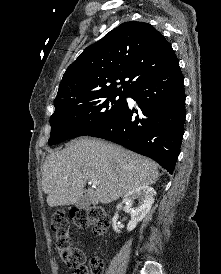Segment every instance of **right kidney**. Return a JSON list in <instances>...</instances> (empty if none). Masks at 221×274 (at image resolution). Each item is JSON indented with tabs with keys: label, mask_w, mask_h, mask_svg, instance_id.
I'll return each mask as SVG.
<instances>
[{
	"label": "right kidney",
	"mask_w": 221,
	"mask_h": 274,
	"mask_svg": "<svg viewBox=\"0 0 221 274\" xmlns=\"http://www.w3.org/2000/svg\"><path fill=\"white\" fill-rule=\"evenodd\" d=\"M156 195V191L149 186H140L134 190L129 191L123 198L121 204L117 206L119 209L122 204H125L128 208H130L131 220L127 225V230L132 231L138 222L142 221L147 213L150 211L152 204L154 203V196ZM138 200V206L132 208L135 200ZM118 213L116 212L112 219V226L115 232H120V227L117 225Z\"/></svg>",
	"instance_id": "obj_1"
}]
</instances>
